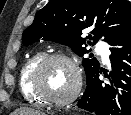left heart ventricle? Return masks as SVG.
Listing matches in <instances>:
<instances>
[{
    "label": "left heart ventricle",
    "mask_w": 131,
    "mask_h": 115,
    "mask_svg": "<svg viewBox=\"0 0 131 115\" xmlns=\"http://www.w3.org/2000/svg\"><path fill=\"white\" fill-rule=\"evenodd\" d=\"M75 74L66 62L55 61L48 64L40 77L41 89L53 98H65L73 90Z\"/></svg>",
    "instance_id": "left-heart-ventricle-1"
}]
</instances>
